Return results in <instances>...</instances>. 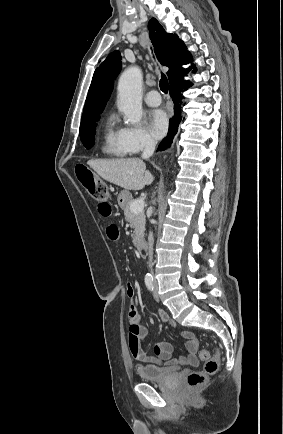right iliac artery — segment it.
<instances>
[{
    "label": "right iliac artery",
    "mask_w": 283,
    "mask_h": 434,
    "mask_svg": "<svg viewBox=\"0 0 283 434\" xmlns=\"http://www.w3.org/2000/svg\"><path fill=\"white\" fill-rule=\"evenodd\" d=\"M145 284L150 291H153V278L151 276L145 277Z\"/></svg>",
    "instance_id": "82829eb1"
}]
</instances>
